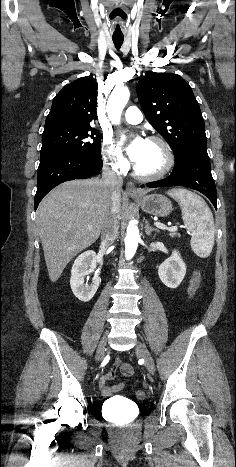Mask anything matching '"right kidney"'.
Masks as SVG:
<instances>
[{"mask_svg": "<svg viewBox=\"0 0 236 467\" xmlns=\"http://www.w3.org/2000/svg\"><path fill=\"white\" fill-rule=\"evenodd\" d=\"M96 262V253L88 250L79 255L72 266L70 286L73 294L82 302L90 301L99 287L100 278L97 273L90 284H84L85 278L96 269Z\"/></svg>", "mask_w": 236, "mask_h": 467, "instance_id": "right-kidney-1", "label": "right kidney"}]
</instances>
